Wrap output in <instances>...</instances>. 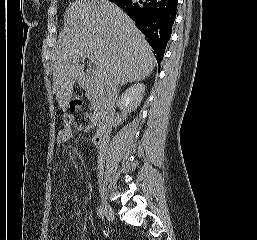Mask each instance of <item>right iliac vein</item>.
<instances>
[{"label":"right iliac vein","mask_w":257,"mask_h":240,"mask_svg":"<svg viewBox=\"0 0 257 240\" xmlns=\"http://www.w3.org/2000/svg\"><path fill=\"white\" fill-rule=\"evenodd\" d=\"M101 207L103 209V214L106 216L108 220H113L114 219V210L112 206L107 202L103 191L101 194Z\"/></svg>","instance_id":"1"}]
</instances>
